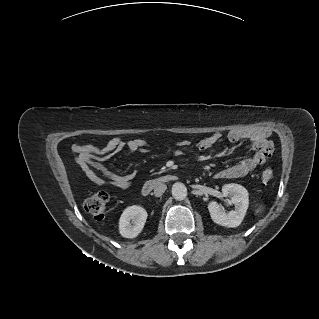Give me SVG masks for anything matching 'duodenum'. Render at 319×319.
<instances>
[{
	"label": "duodenum",
	"mask_w": 319,
	"mask_h": 319,
	"mask_svg": "<svg viewBox=\"0 0 319 319\" xmlns=\"http://www.w3.org/2000/svg\"><path fill=\"white\" fill-rule=\"evenodd\" d=\"M175 179L174 176H162L158 178H152L147 180L142 186L141 192L144 196L148 195L155 187L173 181Z\"/></svg>",
	"instance_id": "1"
}]
</instances>
